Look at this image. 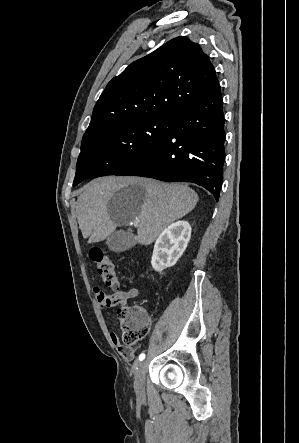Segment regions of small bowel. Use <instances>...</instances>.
<instances>
[{
    "instance_id": "1",
    "label": "small bowel",
    "mask_w": 299,
    "mask_h": 443,
    "mask_svg": "<svg viewBox=\"0 0 299 443\" xmlns=\"http://www.w3.org/2000/svg\"><path fill=\"white\" fill-rule=\"evenodd\" d=\"M138 295L139 291L137 288L117 290L111 295H107L100 288L95 289V296L97 298L99 305L102 308L106 309L107 312L119 305H125L130 299L136 298ZM109 335L113 343L119 344L117 333L114 330H110Z\"/></svg>"
}]
</instances>
